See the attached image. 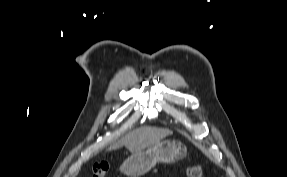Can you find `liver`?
<instances>
[{
    "mask_svg": "<svg viewBox=\"0 0 287 177\" xmlns=\"http://www.w3.org/2000/svg\"><path fill=\"white\" fill-rule=\"evenodd\" d=\"M169 135H172V131L168 129L143 126L126 134L113 144L109 150L125 146L131 153L140 152Z\"/></svg>",
    "mask_w": 287,
    "mask_h": 177,
    "instance_id": "liver-1",
    "label": "liver"
}]
</instances>
